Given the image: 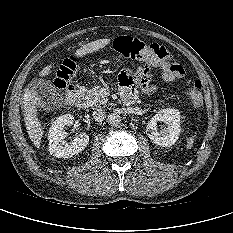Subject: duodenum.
I'll use <instances>...</instances> for the list:
<instances>
[{
    "instance_id": "duodenum-1",
    "label": "duodenum",
    "mask_w": 233,
    "mask_h": 233,
    "mask_svg": "<svg viewBox=\"0 0 233 233\" xmlns=\"http://www.w3.org/2000/svg\"><path fill=\"white\" fill-rule=\"evenodd\" d=\"M79 91V87L75 84H71L68 86L65 96V100L68 105L75 106L78 104ZM124 99L128 103H132L134 102L135 97L132 95H128Z\"/></svg>"
}]
</instances>
